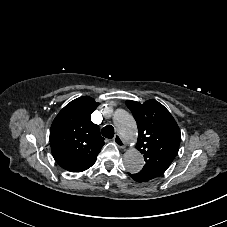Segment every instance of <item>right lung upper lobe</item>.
I'll return each instance as SVG.
<instances>
[{
  "mask_svg": "<svg viewBox=\"0 0 227 227\" xmlns=\"http://www.w3.org/2000/svg\"><path fill=\"white\" fill-rule=\"evenodd\" d=\"M98 105L91 97H80L67 104L54 119L50 129L51 152L63 169L82 172L95 163L104 145L99 126L91 121V113Z\"/></svg>",
  "mask_w": 227,
  "mask_h": 227,
  "instance_id": "obj_1",
  "label": "right lung upper lobe"
}]
</instances>
